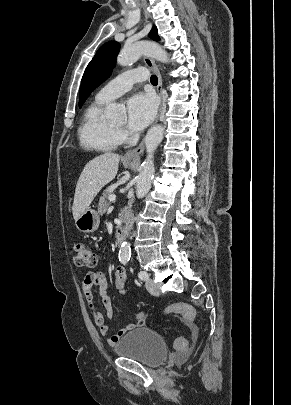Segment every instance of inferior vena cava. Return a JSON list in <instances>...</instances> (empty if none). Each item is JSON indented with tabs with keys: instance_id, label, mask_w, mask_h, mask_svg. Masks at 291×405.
Instances as JSON below:
<instances>
[{
	"instance_id": "obj_1",
	"label": "inferior vena cava",
	"mask_w": 291,
	"mask_h": 405,
	"mask_svg": "<svg viewBox=\"0 0 291 405\" xmlns=\"http://www.w3.org/2000/svg\"><path fill=\"white\" fill-rule=\"evenodd\" d=\"M132 226H133V214H130L129 219H128V223H127V226H126L127 234L131 230Z\"/></svg>"
}]
</instances>
